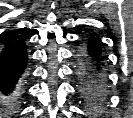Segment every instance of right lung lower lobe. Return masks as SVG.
Segmentation results:
<instances>
[{
    "mask_svg": "<svg viewBox=\"0 0 133 118\" xmlns=\"http://www.w3.org/2000/svg\"><path fill=\"white\" fill-rule=\"evenodd\" d=\"M28 56L23 39L3 47L0 51L1 108L10 110L18 98L26 76Z\"/></svg>",
    "mask_w": 133,
    "mask_h": 118,
    "instance_id": "obj_1",
    "label": "right lung lower lobe"
}]
</instances>
